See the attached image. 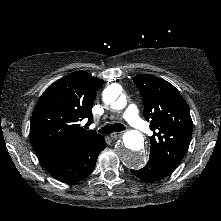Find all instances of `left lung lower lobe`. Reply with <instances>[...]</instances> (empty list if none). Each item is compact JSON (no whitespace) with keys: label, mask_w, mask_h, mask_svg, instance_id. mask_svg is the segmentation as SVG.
Masks as SVG:
<instances>
[{"label":"left lung lower lobe","mask_w":221,"mask_h":221,"mask_svg":"<svg viewBox=\"0 0 221 221\" xmlns=\"http://www.w3.org/2000/svg\"><path fill=\"white\" fill-rule=\"evenodd\" d=\"M131 173L142 180L152 182L164 178L171 172L164 168L156 158L149 157V161L144 168L131 170Z\"/></svg>","instance_id":"1"}]
</instances>
